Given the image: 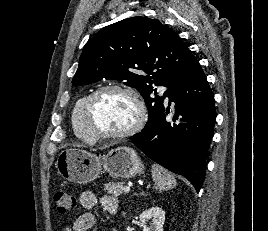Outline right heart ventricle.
<instances>
[{
    "instance_id": "right-heart-ventricle-1",
    "label": "right heart ventricle",
    "mask_w": 268,
    "mask_h": 231,
    "mask_svg": "<svg viewBox=\"0 0 268 231\" xmlns=\"http://www.w3.org/2000/svg\"><path fill=\"white\" fill-rule=\"evenodd\" d=\"M87 98L88 94H85L75 103L71 112V123L74 133L78 138L85 142H91L93 139L85 126L83 117V108Z\"/></svg>"
}]
</instances>
